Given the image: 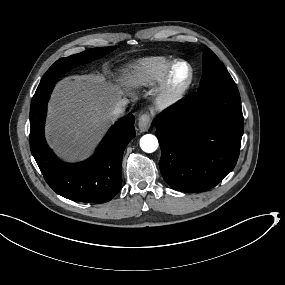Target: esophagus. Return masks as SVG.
I'll return each instance as SVG.
<instances>
[{"label":"esophagus","mask_w":285,"mask_h":285,"mask_svg":"<svg viewBox=\"0 0 285 285\" xmlns=\"http://www.w3.org/2000/svg\"><path fill=\"white\" fill-rule=\"evenodd\" d=\"M151 118L149 114H142L139 117L138 126L141 132H145L150 128Z\"/></svg>","instance_id":"34e87169"}]
</instances>
